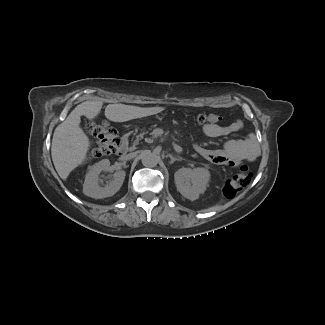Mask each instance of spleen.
<instances>
[{
    "mask_svg": "<svg viewBox=\"0 0 325 325\" xmlns=\"http://www.w3.org/2000/svg\"><path fill=\"white\" fill-rule=\"evenodd\" d=\"M221 209V205L220 204H216L214 206H211L209 207L208 209H205L204 211L207 212V211H217V210H220Z\"/></svg>",
    "mask_w": 325,
    "mask_h": 325,
    "instance_id": "obj_1",
    "label": "spleen"
}]
</instances>
